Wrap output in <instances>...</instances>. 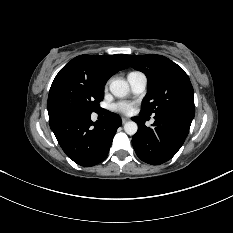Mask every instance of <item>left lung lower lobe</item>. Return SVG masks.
<instances>
[{
    "instance_id": "left-lung-lower-lobe-1",
    "label": "left lung lower lobe",
    "mask_w": 233,
    "mask_h": 233,
    "mask_svg": "<svg viewBox=\"0 0 233 233\" xmlns=\"http://www.w3.org/2000/svg\"><path fill=\"white\" fill-rule=\"evenodd\" d=\"M141 117H134L138 131L132 138L137 156L144 162L159 165L170 160L183 145L192 120L175 114H156L152 127Z\"/></svg>"
}]
</instances>
